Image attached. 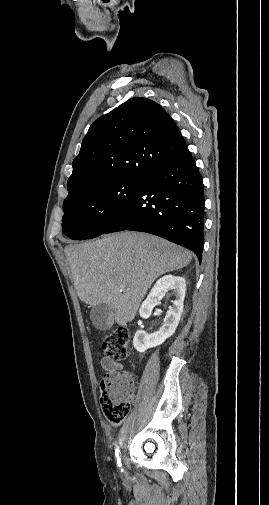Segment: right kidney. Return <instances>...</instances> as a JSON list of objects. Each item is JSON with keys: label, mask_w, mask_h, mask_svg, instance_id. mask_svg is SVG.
Returning a JSON list of instances; mask_svg holds the SVG:
<instances>
[{"label": "right kidney", "mask_w": 269, "mask_h": 505, "mask_svg": "<svg viewBox=\"0 0 269 505\" xmlns=\"http://www.w3.org/2000/svg\"><path fill=\"white\" fill-rule=\"evenodd\" d=\"M169 290H172L175 300L172 307L169 308L159 331L149 335L143 330H138L134 336V348L140 353L164 343L167 338L174 334L179 324L186 292L185 279L180 276L166 275L160 278L142 303L139 314L144 319L149 318L154 306L159 304L160 295Z\"/></svg>", "instance_id": "right-kidney-1"}]
</instances>
